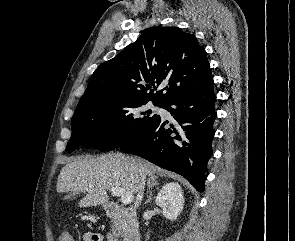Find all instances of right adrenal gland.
<instances>
[{"label":"right adrenal gland","mask_w":295,"mask_h":241,"mask_svg":"<svg viewBox=\"0 0 295 241\" xmlns=\"http://www.w3.org/2000/svg\"><path fill=\"white\" fill-rule=\"evenodd\" d=\"M157 176L156 175H151L150 178L148 179V191H147V199L145 201V204L149 203L151 201V196H152V188L157 186L159 182L157 181Z\"/></svg>","instance_id":"1"}]
</instances>
